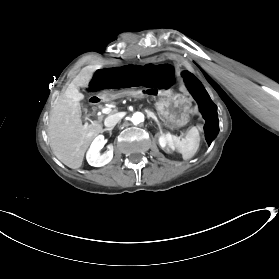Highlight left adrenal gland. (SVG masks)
Wrapping results in <instances>:
<instances>
[{
  "mask_svg": "<svg viewBox=\"0 0 279 279\" xmlns=\"http://www.w3.org/2000/svg\"><path fill=\"white\" fill-rule=\"evenodd\" d=\"M154 121L156 122L157 126H158V129H159V132H161V124L160 122L155 118Z\"/></svg>",
  "mask_w": 279,
  "mask_h": 279,
  "instance_id": "1",
  "label": "left adrenal gland"
}]
</instances>
